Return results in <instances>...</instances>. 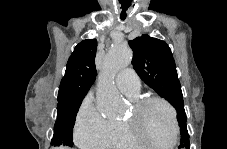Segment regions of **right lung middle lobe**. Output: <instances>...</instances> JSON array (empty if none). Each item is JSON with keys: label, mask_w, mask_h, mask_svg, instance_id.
Here are the masks:
<instances>
[{"label": "right lung middle lobe", "mask_w": 227, "mask_h": 149, "mask_svg": "<svg viewBox=\"0 0 227 149\" xmlns=\"http://www.w3.org/2000/svg\"><path fill=\"white\" fill-rule=\"evenodd\" d=\"M83 99L58 103L57 120L54 126V135L51 144L54 146L73 145V127L75 124L76 114Z\"/></svg>", "instance_id": "1"}]
</instances>
